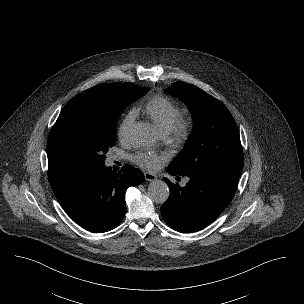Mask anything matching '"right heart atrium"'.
<instances>
[{"mask_svg":"<svg viewBox=\"0 0 304 304\" xmlns=\"http://www.w3.org/2000/svg\"><path fill=\"white\" fill-rule=\"evenodd\" d=\"M135 119V113L133 111L128 112L124 118L122 119L119 129H118V136L120 139H124L128 133L130 126L132 125Z\"/></svg>","mask_w":304,"mask_h":304,"instance_id":"right-heart-atrium-1","label":"right heart atrium"}]
</instances>
